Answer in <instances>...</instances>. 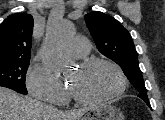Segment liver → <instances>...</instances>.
I'll return each instance as SVG.
<instances>
[{"mask_svg": "<svg viewBox=\"0 0 165 120\" xmlns=\"http://www.w3.org/2000/svg\"><path fill=\"white\" fill-rule=\"evenodd\" d=\"M86 108L73 111H59L30 97L0 87V120H77Z\"/></svg>", "mask_w": 165, "mask_h": 120, "instance_id": "1", "label": "liver"}]
</instances>
